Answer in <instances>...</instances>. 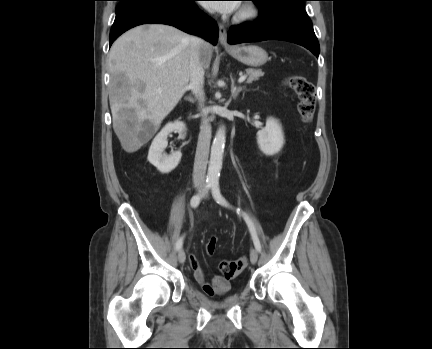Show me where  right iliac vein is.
Here are the masks:
<instances>
[{
    "label": "right iliac vein",
    "instance_id": "right-iliac-vein-1",
    "mask_svg": "<svg viewBox=\"0 0 432 349\" xmlns=\"http://www.w3.org/2000/svg\"><path fill=\"white\" fill-rule=\"evenodd\" d=\"M185 259H186L185 252H184V250L181 249L178 253V260L180 263H184Z\"/></svg>",
    "mask_w": 432,
    "mask_h": 349
}]
</instances>
